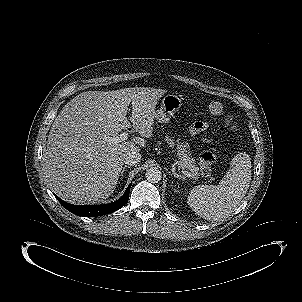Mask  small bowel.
I'll return each mask as SVG.
<instances>
[{
    "instance_id": "obj_1",
    "label": "small bowel",
    "mask_w": 302,
    "mask_h": 302,
    "mask_svg": "<svg viewBox=\"0 0 302 302\" xmlns=\"http://www.w3.org/2000/svg\"><path fill=\"white\" fill-rule=\"evenodd\" d=\"M207 128V124L201 121L194 122L190 126V131L192 134H197Z\"/></svg>"
}]
</instances>
